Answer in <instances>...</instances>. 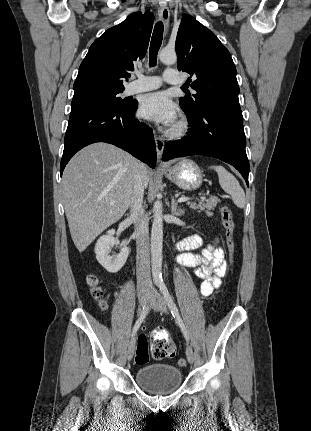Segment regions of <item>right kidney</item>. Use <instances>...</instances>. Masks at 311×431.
I'll return each mask as SVG.
<instances>
[{
  "label": "right kidney",
  "instance_id": "ca27d5eb",
  "mask_svg": "<svg viewBox=\"0 0 311 431\" xmlns=\"http://www.w3.org/2000/svg\"><path fill=\"white\" fill-rule=\"evenodd\" d=\"M115 229H109L106 235H101L97 239L95 245L96 259L107 269L110 273H116L121 267H123L128 255L129 247L122 245L119 253L116 255H109L111 245H119L120 241L118 237H114Z\"/></svg>",
  "mask_w": 311,
  "mask_h": 431
}]
</instances>
